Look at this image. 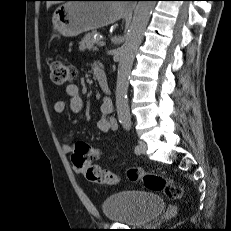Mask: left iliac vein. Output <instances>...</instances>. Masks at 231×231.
I'll use <instances>...</instances> for the list:
<instances>
[{"label":"left iliac vein","instance_id":"4c4485c4","mask_svg":"<svg viewBox=\"0 0 231 231\" xmlns=\"http://www.w3.org/2000/svg\"><path fill=\"white\" fill-rule=\"evenodd\" d=\"M138 147H139V154L140 153H142V154L146 153L147 145H146V143L144 141H139Z\"/></svg>","mask_w":231,"mask_h":231}]
</instances>
